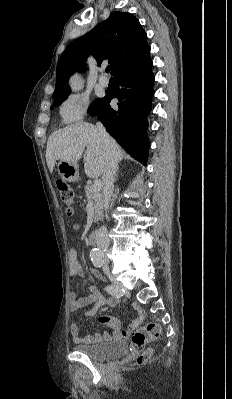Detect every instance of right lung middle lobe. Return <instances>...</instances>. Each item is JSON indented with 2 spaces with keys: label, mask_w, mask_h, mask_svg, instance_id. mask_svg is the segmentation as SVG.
<instances>
[{
  "label": "right lung middle lobe",
  "mask_w": 232,
  "mask_h": 399,
  "mask_svg": "<svg viewBox=\"0 0 232 399\" xmlns=\"http://www.w3.org/2000/svg\"><path fill=\"white\" fill-rule=\"evenodd\" d=\"M69 94H70V92H66V93H62V94H57V95H53L52 97L55 98V100H54V102H53V103H54V106H59L60 103L63 102V101L67 98V96H68ZM101 100H102V98H98V99L96 100V103H95V104H92V105L90 106L88 112L94 111V110L99 106V103H100Z\"/></svg>",
  "instance_id": "right-lung-middle-lobe-1"
}]
</instances>
